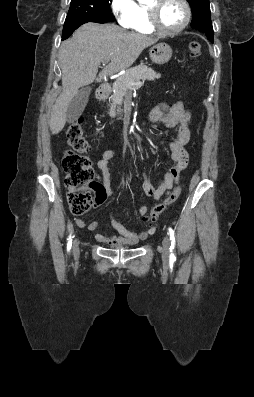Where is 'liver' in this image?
<instances>
[{
	"label": "liver",
	"instance_id": "6515ba94",
	"mask_svg": "<svg viewBox=\"0 0 254 397\" xmlns=\"http://www.w3.org/2000/svg\"><path fill=\"white\" fill-rule=\"evenodd\" d=\"M158 39L132 33L113 24L86 23L73 36L62 42L59 60L62 70V92L52 108L49 127L58 134L65 126L71 100L80 87L130 67L141 52ZM111 62L97 78L100 63Z\"/></svg>",
	"mask_w": 254,
	"mask_h": 397
}]
</instances>
